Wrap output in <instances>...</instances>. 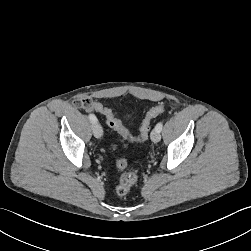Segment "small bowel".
Instances as JSON below:
<instances>
[{
  "label": "small bowel",
  "instance_id": "1",
  "mask_svg": "<svg viewBox=\"0 0 251 251\" xmlns=\"http://www.w3.org/2000/svg\"><path fill=\"white\" fill-rule=\"evenodd\" d=\"M94 102V98L91 95H85L84 97H77L73 102V107L76 110H84Z\"/></svg>",
  "mask_w": 251,
  "mask_h": 251
}]
</instances>
